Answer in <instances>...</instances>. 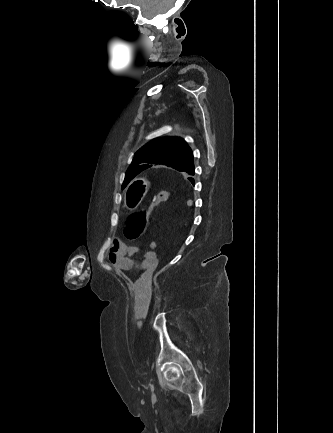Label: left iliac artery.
<instances>
[{
  "mask_svg": "<svg viewBox=\"0 0 333 433\" xmlns=\"http://www.w3.org/2000/svg\"><path fill=\"white\" fill-rule=\"evenodd\" d=\"M150 389H151V391L154 390V385L153 384H151Z\"/></svg>",
  "mask_w": 333,
  "mask_h": 433,
  "instance_id": "1",
  "label": "left iliac artery"
}]
</instances>
